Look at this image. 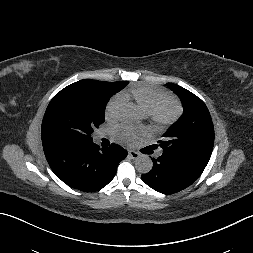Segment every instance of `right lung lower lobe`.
<instances>
[{"instance_id": "1", "label": "right lung lower lobe", "mask_w": 253, "mask_h": 253, "mask_svg": "<svg viewBox=\"0 0 253 253\" xmlns=\"http://www.w3.org/2000/svg\"><path fill=\"white\" fill-rule=\"evenodd\" d=\"M52 171L72 188L93 192L112 181L127 152L118 144L102 151L93 142L83 145L55 144L43 147Z\"/></svg>"}]
</instances>
